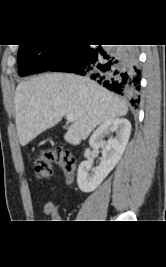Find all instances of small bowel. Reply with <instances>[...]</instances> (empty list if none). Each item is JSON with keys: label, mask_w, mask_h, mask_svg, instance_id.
I'll list each match as a JSON object with an SVG mask.
<instances>
[{"label": "small bowel", "mask_w": 166, "mask_h": 267, "mask_svg": "<svg viewBox=\"0 0 166 267\" xmlns=\"http://www.w3.org/2000/svg\"><path fill=\"white\" fill-rule=\"evenodd\" d=\"M68 182L71 183L72 179H68ZM43 212L48 222H56L60 219V206L51 201L44 204Z\"/></svg>", "instance_id": "c3829d8e"}]
</instances>
